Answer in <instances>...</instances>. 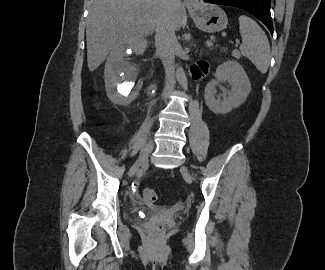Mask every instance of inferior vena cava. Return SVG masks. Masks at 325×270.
I'll return each mask as SVG.
<instances>
[{
  "label": "inferior vena cava",
  "mask_w": 325,
  "mask_h": 270,
  "mask_svg": "<svg viewBox=\"0 0 325 270\" xmlns=\"http://www.w3.org/2000/svg\"><path fill=\"white\" fill-rule=\"evenodd\" d=\"M179 0H161V13L156 25L155 43L164 65L166 79L163 96L167 98L175 87L174 49L178 46L173 22V6Z\"/></svg>",
  "instance_id": "602c4592"
}]
</instances>
